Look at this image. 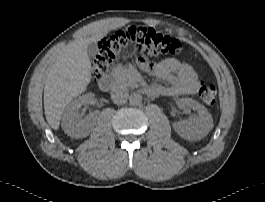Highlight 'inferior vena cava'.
<instances>
[{
	"label": "inferior vena cava",
	"instance_id": "inferior-vena-cava-1",
	"mask_svg": "<svg viewBox=\"0 0 265 202\" xmlns=\"http://www.w3.org/2000/svg\"><path fill=\"white\" fill-rule=\"evenodd\" d=\"M129 98V91L124 86H115L111 91V99L117 105H122L127 102Z\"/></svg>",
	"mask_w": 265,
	"mask_h": 202
}]
</instances>
